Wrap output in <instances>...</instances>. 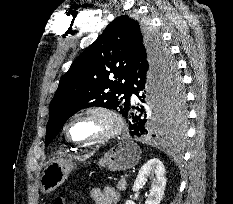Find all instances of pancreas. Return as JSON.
<instances>
[{"label":"pancreas","mask_w":233,"mask_h":204,"mask_svg":"<svg viewBox=\"0 0 233 204\" xmlns=\"http://www.w3.org/2000/svg\"><path fill=\"white\" fill-rule=\"evenodd\" d=\"M126 185H127L126 180L121 179L117 184V189L119 191H124V190H126Z\"/></svg>","instance_id":"pancreas-1"}]
</instances>
